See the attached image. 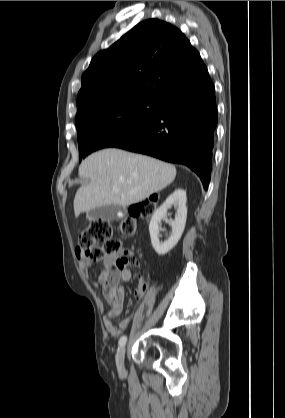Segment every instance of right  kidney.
<instances>
[{"label": "right kidney", "instance_id": "1", "mask_svg": "<svg viewBox=\"0 0 285 418\" xmlns=\"http://www.w3.org/2000/svg\"><path fill=\"white\" fill-rule=\"evenodd\" d=\"M186 201V192L182 189H177L154 212L149 224V233L152 246L159 255H165L168 253L180 240L185 228L187 218ZM171 206L177 207L175 219L170 222L172 227V234L166 241L160 242L159 225L161 220L167 215L168 208Z\"/></svg>", "mask_w": 285, "mask_h": 418}]
</instances>
